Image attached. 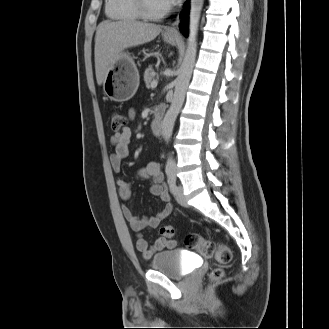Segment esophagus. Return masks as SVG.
<instances>
[{
  "instance_id": "esophagus-1",
  "label": "esophagus",
  "mask_w": 329,
  "mask_h": 329,
  "mask_svg": "<svg viewBox=\"0 0 329 329\" xmlns=\"http://www.w3.org/2000/svg\"><path fill=\"white\" fill-rule=\"evenodd\" d=\"M178 23H179V19L177 18L173 22V24L165 31V34L170 36H178V30H177Z\"/></svg>"
}]
</instances>
